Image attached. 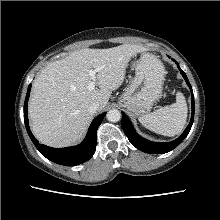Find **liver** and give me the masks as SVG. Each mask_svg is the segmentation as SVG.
Returning a JSON list of instances; mask_svg holds the SVG:
<instances>
[{"instance_id":"obj_1","label":"liver","mask_w":220,"mask_h":220,"mask_svg":"<svg viewBox=\"0 0 220 220\" xmlns=\"http://www.w3.org/2000/svg\"><path fill=\"white\" fill-rule=\"evenodd\" d=\"M143 51L144 47L135 44L84 48L48 64L34 80L28 105L35 137L52 147L80 140L93 118L89 106L98 103L99 110L106 107L112 91L122 85L131 57ZM91 68L99 69V89L92 91L88 90Z\"/></svg>"}]
</instances>
